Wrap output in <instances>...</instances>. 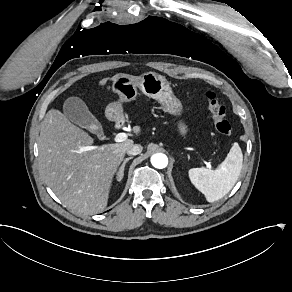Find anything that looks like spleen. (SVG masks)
Here are the masks:
<instances>
[{"label":"spleen","mask_w":292,"mask_h":292,"mask_svg":"<svg viewBox=\"0 0 292 292\" xmlns=\"http://www.w3.org/2000/svg\"><path fill=\"white\" fill-rule=\"evenodd\" d=\"M243 153L238 143H234L225 160L217 169L192 168L189 178L201 191L208 202L223 198L235 185L241 173Z\"/></svg>","instance_id":"obj_1"}]
</instances>
